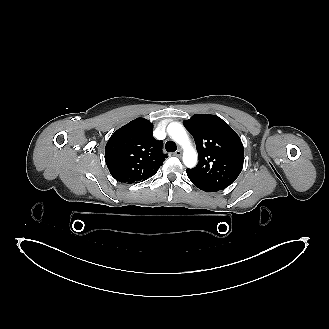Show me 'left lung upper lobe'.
Wrapping results in <instances>:
<instances>
[{
  "label": "left lung upper lobe",
  "mask_w": 329,
  "mask_h": 329,
  "mask_svg": "<svg viewBox=\"0 0 329 329\" xmlns=\"http://www.w3.org/2000/svg\"><path fill=\"white\" fill-rule=\"evenodd\" d=\"M193 135L199 162L187 169L194 180L222 190L233 183L243 168L244 149L236 132L220 117L195 114L184 122Z\"/></svg>",
  "instance_id": "left-lung-upper-lobe-1"
}]
</instances>
